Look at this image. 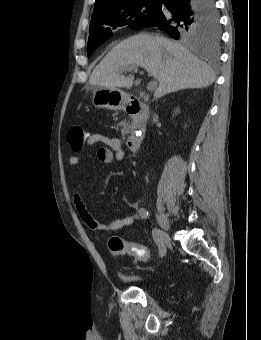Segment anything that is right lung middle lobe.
<instances>
[{
    "label": "right lung middle lobe",
    "instance_id": "1",
    "mask_svg": "<svg viewBox=\"0 0 261 340\" xmlns=\"http://www.w3.org/2000/svg\"><path fill=\"white\" fill-rule=\"evenodd\" d=\"M162 0L139 1L118 8L116 11L96 20L91 21L89 27L88 57L95 49L104 43L116 28L129 26L131 29L140 30L149 25L155 15L161 10ZM195 41L220 38V25L218 14L200 16L197 13L186 18L179 24L177 39Z\"/></svg>",
    "mask_w": 261,
    "mask_h": 340
}]
</instances>
